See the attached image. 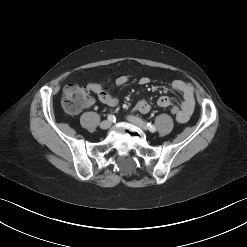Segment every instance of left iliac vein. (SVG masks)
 I'll use <instances>...</instances> for the list:
<instances>
[{
    "label": "left iliac vein",
    "instance_id": "4c4485c4",
    "mask_svg": "<svg viewBox=\"0 0 247 247\" xmlns=\"http://www.w3.org/2000/svg\"><path fill=\"white\" fill-rule=\"evenodd\" d=\"M127 120L130 123L138 126L139 128H141L143 130H146L147 129V125L143 121H141L139 118H137L135 116H127Z\"/></svg>",
    "mask_w": 247,
    "mask_h": 247
}]
</instances>
